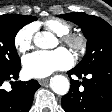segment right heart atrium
<instances>
[{
  "mask_svg": "<svg viewBox=\"0 0 112 112\" xmlns=\"http://www.w3.org/2000/svg\"><path fill=\"white\" fill-rule=\"evenodd\" d=\"M35 27L31 24L23 26L14 37V45L18 52L26 53L33 46Z\"/></svg>",
  "mask_w": 112,
  "mask_h": 112,
  "instance_id": "right-heart-atrium-1",
  "label": "right heart atrium"
}]
</instances>
